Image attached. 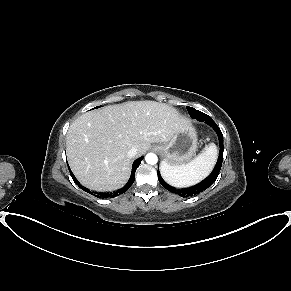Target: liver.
I'll use <instances>...</instances> for the list:
<instances>
[{
	"mask_svg": "<svg viewBox=\"0 0 291 291\" xmlns=\"http://www.w3.org/2000/svg\"><path fill=\"white\" fill-rule=\"evenodd\" d=\"M178 111L155 101H130L90 111L79 116L66 136L71 170L86 187L96 191L121 188L131 172L132 147L137 157L151 143H167L187 126Z\"/></svg>",
	"mask_w": 291,
	"mask_h": 291,
	"instance_id": "liver-1",
	"label": "liver"
}]
</instances>
